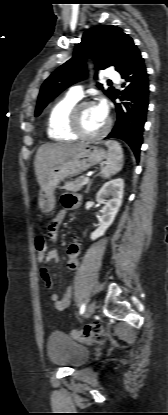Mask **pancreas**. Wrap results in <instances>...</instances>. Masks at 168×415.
<instances>
[{"label": "pancreas", "mask_w": 168, "mask_h": 415, "mask_svg": "<svg viewBox=\"0 0 168 415\" xmlns=\"http://www.w3.org/2000/svg\"><path fill=\"white\" fill-rule=\"evenodd\" d=\"M84 179H85V177L81 176V177L75 179L74 181L65 182L62 189H65L66 191H71V192L80 191L81 188H82V182H83Z\"/></svg>", "instance_id": "cf45deb5"}]
</instances>
